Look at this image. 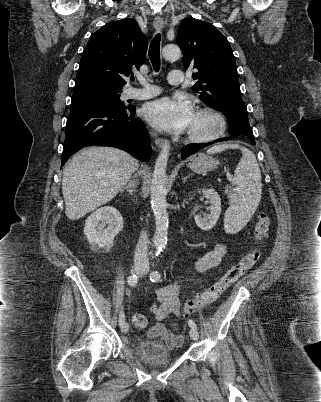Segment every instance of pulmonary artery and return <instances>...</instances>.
<instances>
[{"label":"pulmonary artery","mask_w":321,"mask_h":402,"mask_svg":"<svg viewBox=\"0 0 321 402\" xmlns=\"http://www.w3.org/2000/svg\"><path fill=\"white\" fill-rule=\"evenodd\" d=\"M168 82L170 85L178 86L183 83V74L180 70H173L169 73ZM142 84L144 88L142 89H134L130 93V97L133 99H149L154 96H157L161 93V90L148 83L146 80H142Z\"/></svg>","instance_id":"obj_1"}]
</instances>
